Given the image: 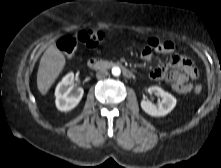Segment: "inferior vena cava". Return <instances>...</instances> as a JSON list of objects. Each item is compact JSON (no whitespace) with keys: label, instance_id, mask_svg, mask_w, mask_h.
<instances>
[{"label":"inferior vena cava","instance_id":"inferior-vena-cava-1","mask_svg":"<svg viewBox=\"0 0 221 168\" xmlns=\"http://www.w3.org/2000/svg\"><path fill=\"white\" fill-rule=\"evenodd\" d=\"M107 76H108V71L105 69H101L96 73L97 79H105Z\"/></svg>","mask_w":221,"mask_h":168}]
</instances>
